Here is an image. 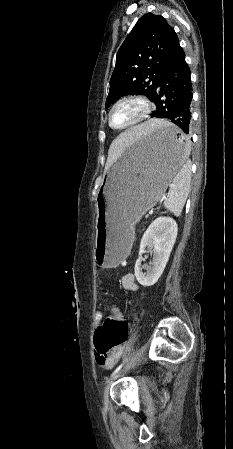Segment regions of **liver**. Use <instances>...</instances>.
Wrapping results in <instances>:
<instances>
[{"label":"liver","instance_id":"6515ba94","mask_svg":"<svg viewBox=\"0 0 233 449\" xmlns=\"http://www.w3.org/2000/svg\"><path fill=\"white\" fill-rule=\"evenodd\" d=\"M165 123L167 122L163 120L152 119L122 133H116L115 140L111 143L108 151L107 166H111L135 142H141L145 134Z\"/></svg>","mask_w":233,"mask_h":449}]
</instances>
